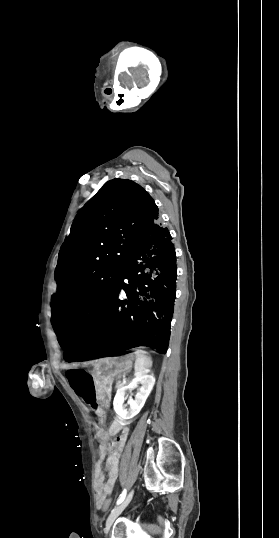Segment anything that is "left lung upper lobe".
I'll list each match as a JSON object with an SVG mask.
<instances>
[{
	"mask_svg": "<svg viewBox=\"0 0 279 538\" xmlns=\"http://www.w3.org/2000/svg\"><path fill=\"white\" fill-rule=\"evenodd\" d=\"M158 218L151 196L124 179L108 181L79 211L56 267L51 321L57 337L94 327L126 260Z\"/></svg>",
	"mask_w": 279,
	"mask_h": 538,
	"instance_id": "1",
	"label": "left lung upper lobe"
}]
</instances>
